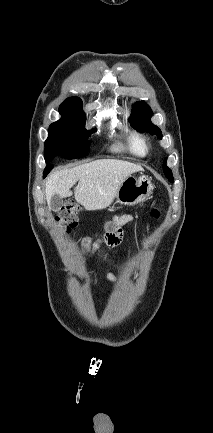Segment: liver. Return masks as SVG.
Listing matches in <instances>:
<instances>
[{
    "instance_id": "1",
    "label": "liver",
    "mask_w": 213,
    "mask_h": 433,
    "mask_svg": "<svg viewBox=\"0 0 213 433\" xmlns=\"http://www.w3.org/2000/svg\"><path fill=\"white\" fill-rule=\"evenodd\" d=\"M139 171H142L140 165L117 159H101L55 171L46 181L48 207L54 194L61 198L70 196L72 186L78 181L74 191L75 200L88 210L103 208L114 200L122 182Z\"/></svg>"
}]
</instances>
